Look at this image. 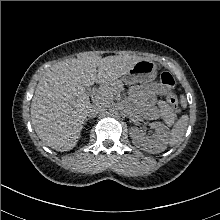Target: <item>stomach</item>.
Listing matches in <instances>:
<instances>
[{"instance_id": "0dacf381", "label": "stomach", "mask_w": 220, "mask_h": 220, "mask_svg": "<svg viewBox=\"0 0 220 220\" xmlns=\"http://www.w3.org/2000/svg\"><path fill=\"white\" fill-rule=\"evenodd\" d=\"M157 77V66L153 61H138L124 76L123 81L132 85L136 83L146 84Z\"/></svg>"}]
</instances>
